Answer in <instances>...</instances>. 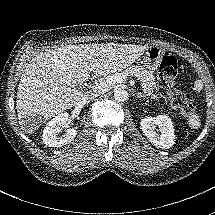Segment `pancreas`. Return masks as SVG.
I'll return each instance as SVG.
<instances>
[{
  "mask_svg": "<svg viewBox=\"0 0 215 215\" xmlns=\"http://www.w3.org/2000/svg\"><path fill=\"white\" fill-rule=\"evenodd\" d=\"M129 75L140 81L142 93L151 101L160 102V96L155 93V76L141 65H131L125 70ZM113 74V73H112Z\"/></svg>",
  "mask_w": 215,
  "mask_h": 215,
  "instance_id": "pancreas-1",
  "label": "pancreas"
}]
</instances>
